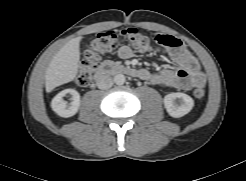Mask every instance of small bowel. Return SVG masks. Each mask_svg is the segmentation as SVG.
<instances>
[{
  "label": "small bowel",
  "mask_w": 246,
  "mask_h": 181,
  "mask_svg": "<svg viewBox=\"0 0 246 181\" xmlns=\"http://www.w3.org/2000/svg\"><path fill=\"white\" fill-rule=\"evenodd\" d=\"M166 53L178 66L177 69L162 68L157 72L140 69L141 80L163 87L184 90L205 85L206 78L200 70L197 59L185 48L182 41L180 48H166ZM118 55L122 59H130L133 56V50L124 45L119 48Z\"/></svg>",
  "instance_id": "obj_1"
}]
</instances>
